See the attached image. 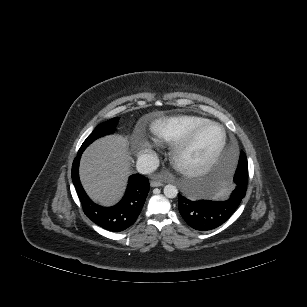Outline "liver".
I'll return each instance as SVG.
<instances>
[{
  "label": "liver",
  "mask_w": 307,
  "mask_h": 307,
  "mask_svg": "<svg viewBox=\"0 0 307 307\" xmlns=\"http://www.w3.org/2000/svg\"><path fill=\"white\" fill-rule=\"evenodd\" d=\"M131 159L126 137L108 136L90 145L79 168L90 198L106 206L117 202L125 190Z\"/></svg>",
  "instance_id": "6515ba94"
}]
</instances>
